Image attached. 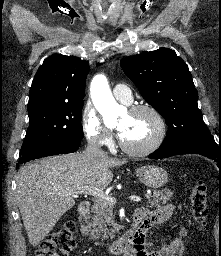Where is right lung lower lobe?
<instances>
[{"mask_svg": "<svg viewBox=\"0 0 221 256\" xmlns=\"http://www.w3.org/2000/svg\"><path fill=\"white\" fill-rule=\"evenodd\" d=\"M80 142L81 140L79 139H62L46 142L22 155L16 167H18L20 163H25L30 160L75 152L78 150Z\"/></svg>", "mask_w": 221, "mask_h": 256, "instance_id": "obj_1", "label": "right lung lower lobe"}]
</instances>
